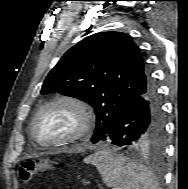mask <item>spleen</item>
I'll return each instance as SVG.
<instances>
[{
  "instance_id": "spleen-1",
  "label": "spleen",
  "mask_w": 188,
  "mask_h": 189,
  "mask_svg": "<svg viewBox=\"0 0 188 189\" xmlns=\"http://www.w3.org/2000/svg\"><path fill=\"white\" fill-rule=\"evenodd\" d=\"M84 162L95 165L103 182L114 189H156L153 174L125 156L101 150L87 156Z\"/></svg>"
}]
</instances>
